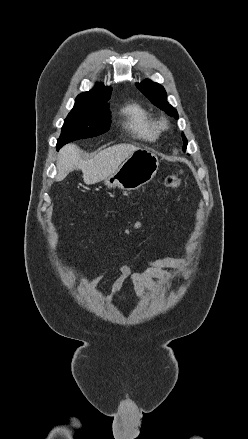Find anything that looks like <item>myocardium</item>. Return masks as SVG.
<instances>
[{
  "label": "myocardium",
  "mask_w": 248,
  "mask_h": 439,
  "mask_svg": "<svg viewBox=\"0 0 248 439\" xmlns=\"http://www.w3.org/2000/svg\"><path fill=\"white\" fill-rule=\"evenodd\" d=\"M157 125L160 129L165 130L168 128V121L165 117H161L158 121H157Z\"/></svg>",
  "instance_id": "1"
}]
</instances>
